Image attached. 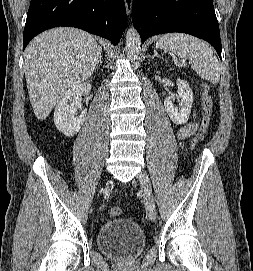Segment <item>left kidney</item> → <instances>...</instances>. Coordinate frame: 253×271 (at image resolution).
<instances>
[{
  "mask_svg": "<svg viewBox=\"0 0 253 271\" xmlns=\"http://www.w3.org/2000/svg\"><path fill=\"white\" fill-rule=\"evenodd\" d=\"M178 95L176 97H166L164 100V106L170 119L178 125L187 123L191 108L193 104V92L189 84L182 80L177 79ZM177 99L179 107L174 105V101Z\"/></svg>",
  "mask_w": 253,
  "mask_h": 271,
  "instance_id": "5707ae66",
  "label": "left kidney"
}]
</instances>
